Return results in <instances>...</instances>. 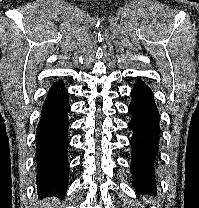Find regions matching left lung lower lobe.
I'll return each mask as SVG.
<instances>
[{
  "label": "left lung lower lobe",
  "mask_w": 199,
  "mask_h": 208,
  "mask_svg": "<svg viewBox=\"0 0 199 208\" xmlns=\"http://www.w3.org/2000/svg\"><path fill=\"white\" fill-rule=\"evenodd\" d=\"M132 101L128 108L132 120L128 127L133 130L131 139L133 184L139 192L155 191L153 164L159 150V112L153 94L142 81L131 91Z\"/></svg>",
  "instance_id": "0a47b994"
}]
</instances>
